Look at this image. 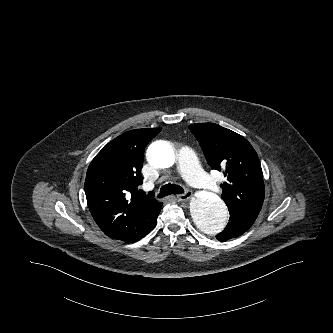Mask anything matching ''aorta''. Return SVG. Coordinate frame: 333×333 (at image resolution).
Returning a JSON list of instances; mask_svg holds the SVG:
<instances>
[{"label": "aorta", "mask_w": 333, "mask_h": 333, "mask_svg": "<svg viewBox=\"0 0 333 333\" xmlns=\"http://www.w3.org/2000/svg\"><path fill=\"white\" fill-rule=\"evenodd\" d=\"M147 158L156 168H169L175 162L174 150L165 141H157L150 145ZM190 214L195 225L211 235L224 231L229 220L225 203L213 193L193 198L190 202Z\"/></svg>", "instance_id": "762f6f07"}]
</instances>
